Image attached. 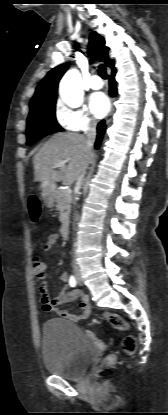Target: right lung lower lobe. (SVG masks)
Here are the masks:
<instances>
[{
  "label": "right lung lower lobe",
  "instance_id": "right-lung-lower-lobe-1",
  "mask_svg": "<svg viewBox=\"0 0 168 415\" xmlns=\"http://www.w3.org/2000/svg\"><path fill=\"white\" fill-rule=\"evenodd\" d=\"M115 72L116 71L113 70L112 71V75L109 77V81H110V95L111 96H115V94H116V83H115V79H114ZM104 131H105V122L104 121H101L98 124V127H97V139H96V142H95V148H97V149L99 148L100 143L102 141Z\"/></svg>",
  "mask_w": 168,
  "mask_h": 415
}]
</instances>
